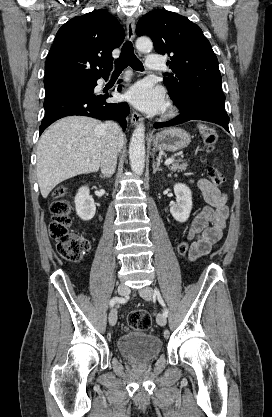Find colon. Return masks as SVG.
<instances>
[{
	"label": "colon",
	"mask_w": 272,
	"mask_h": 417,
	"mask_svg": "<svg viewBox=\"0 0 272 417\" xmlns=\"http://www.w3.org/2000/svg\"><path fill=\"white\" fill-rule=\"evenodd\" d=\"M199 132L207 151L214 152L218 141L216 130L209 125H200ZM208 174L215 186H220L225 181L223 174L214 167L209 169ZM66 194L67 189L64 186L57 187L53 192L54 201L50 206L52 221L49 231L55 241L58 254L67 261L78 262L90 250L91 246L88 240L70 231L71 206L65 199ZM190 248L191 243L183 241L177 245L176 250L180 256H184L188 254ZM128 325L134 330H148L152 325L151 315L144 310L133 311L128 316Z\"/></svg>",
	"instance_id": "5ec220e1"
}]
</instances>
